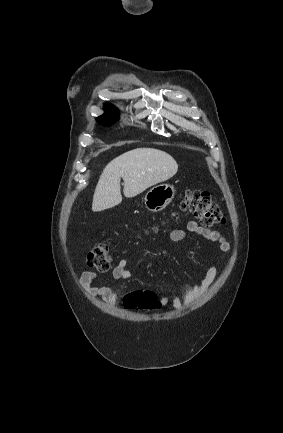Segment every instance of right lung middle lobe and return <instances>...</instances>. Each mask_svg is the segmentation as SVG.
<instances>
[{
	"label": "right lung middle lobe",
	"instance_id": "1",
	"mask_svg": "<svg viewBox=\"0 0 283 433\" xmlns=\"http://www.w3.org/2000/svg\"><path fill=\"white\" fill-rule=\"evenodd\" d=\"M117 120L118 116L116 114L100 116L99 118H97V121L104 126H110Z\"/></svg>",
	"mask_w": 283,
	"mask_h": 433
}]
</instances>
